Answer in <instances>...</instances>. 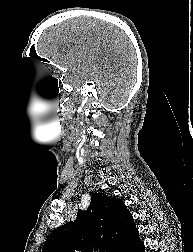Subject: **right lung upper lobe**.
Listing matches in <instances>:
<instances>
[{"mask_svg": "<svg viewBox=\"0 0 193 252\" xmlns=\"http://www.w3.org/2000/svg\"><path fill=\"white\" fill-rule=\"evenodd\" d=\"M136 230L122 200L94 193L88 209L79 210L76 221L55 229L42 252H118Z\"/></svg>", "mask_w": 193, "mask_h": 252, "instance_id": "right-lung-upper-lobe-1", "label": "right lung upper lobe"}]
</instances>
